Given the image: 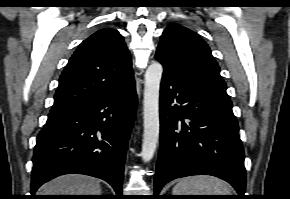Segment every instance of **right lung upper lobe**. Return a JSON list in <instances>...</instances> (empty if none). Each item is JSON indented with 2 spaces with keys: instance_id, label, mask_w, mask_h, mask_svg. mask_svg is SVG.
Wrapping results in <instances>:
<instances>
[{
  "instance_id": "1",
  "label": "right lung upper lobe",
  "mask_w": 290,
  "mask_h": 199,
  "mask_svg": "<svg viewBox=\"0 0 290 199\" xmlns=\"http://www.w3.org/2000/svg\"><path fill=\"white\" fill-rule=\"evenodd\" d=\"M133 81L131 56L122 35L111 28L98 30L70 58L51 111L122 92Z\"/></svg>"
}]
</instances>
